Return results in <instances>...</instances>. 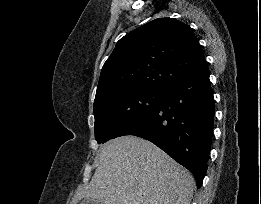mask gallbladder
<instances>
[{
	"label": "gallbladder",
	"instance_id": "bac80fb5",
	"mask_svg": "<svg viewBox=\"0 0 261 204\" xmlns=\"http://www.w3.org/2000/svg\"><path fill=\"white\" fill-rule=\"evenodd\" d=\"M79 204H103V203L93 198H85Z\"/></svg>",
	"mask_w": 261,
	"mask_h": 204
}]
</instances>
